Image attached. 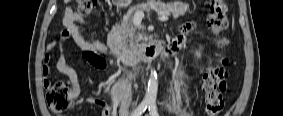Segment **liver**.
Here are the masks:
<instances>
[{"instance_id": "liver-1", "label": "liver", "mask_w": 283, "mask_h": 116, "mask_svg": "<svg viewBox=\"0 0 283 116\" xmlns=\"http://www.w3.org/2000/svg\"><path fill=\"white\" fill-rule=\"evenodd\" d=\"M70 0H65V3H68Z\"/></svg>"}]
</instances>
